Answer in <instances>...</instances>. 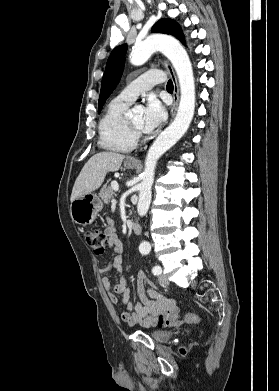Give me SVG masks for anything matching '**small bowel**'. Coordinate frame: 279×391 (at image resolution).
<instances>
[{
  "label": "small bowel",
  "instance_id": "small-bowel-1",
  "mask_svg": "<svg viewBox=\"0 0 279 391\" xmlns=\"http://www.w3.org/2000/svg\"><path fill=\"white\" fill-rule=\"evenodd\" d=\"M105 233L109 245L114 248L116 255L107 266L100 268L99 272L104 274L110 269H115L119 275V281L114 285L108 277H104L102 283L115 307L126 306V310L121 312L122 320L129 326L140 325L160 328L178 323L180 312L175 301L158 293L143 273L138 274V286L142 294V302H134L131 299L132 293L123 274L122 243L111 220H109ZM144 285L150 286L146 293L142 291ZM118 295H121L122 298L119 299ZM131 309L133 311H129Z\"/></svg>",
  "mask_w": 279,
  "mask_h": 391
}]
</instances>
